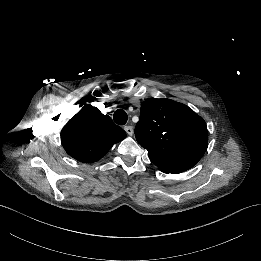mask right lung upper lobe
I'll return each instance as SVG.
<instances>
[{
  "label": "right lung upper lobe",
  "mask_w": 261,
  "mask_h": 261,
  "mask_svg": "<svg viewBox=\"0 0 261 261\" xmlns=\"http://www.w3.org/2000/svg\"><path fill=\"white\" fill-rule=\"evenodd\" d=\"M125 137L122 128L91 105H85L61 131V141L66 152L84 163L98 161Z\"/></svg>",
  "instance_id": "obj_1"
}]
</instances>
